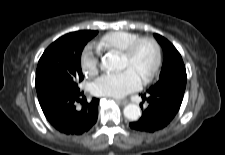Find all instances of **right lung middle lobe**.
Segmentation results:
<instances>
[{"mask_svg":"<svg viewBox=\"0 0 225 155\" xmlns=\"http://www.w3.org/2000/svg\"><path fill=\"white\" fill-rule=\"evenodd\" d=\"M91 38L62 36L44 51L35 80L39 103L60 92L80 91L78 83L83 80L81 53Z\"/></svg>","mask_w":225,"mask_h":155,"instance_id":"dd1d6c3e","label":"right lung middle lobe"}]
</instances>
